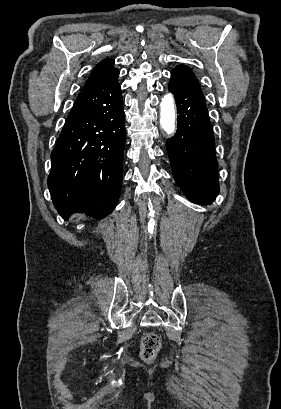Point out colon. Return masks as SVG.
Segmentation results:
<instances>
[{
  "label": "colon",
  "instance_id": "5ec220e1",
  "mask_svg": "<svg viewBox=\"0 0 281 409\" xmlns=\"http://www.w3.org/2000/svg\"><path fill=\"white\" fill-rule=\"evenodd\" d=\"M160 347V342L156 334L149 332L143 338L142 358L152 360L156 357Z\"/></svg>",
  "mask_w": 281,
  "mask_h": 409
}]
</instances>
